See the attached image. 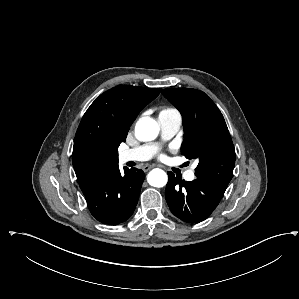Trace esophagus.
<instances>
[{"label": "esophagus", "instance_id": "obj_1", "mask_svg": "<svg viewBox=\"0 0 299 299\" xmlns=\"http://www.w3.org/2000/svg\"><path fill=\"white\" fill-rule=\"evenodd\" d=\"M153 168V166H151V165H144L143 167H142V170L144 171V172H147V171H149L150 169H152Z\"/></svg>", "mask_w": 299, "mask_h": 299}]
</instances>
